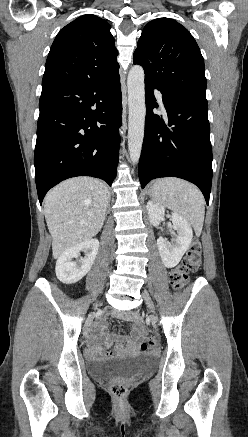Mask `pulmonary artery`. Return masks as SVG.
I'll return each mask as SVG.
<instances>
[{
  "label": "pulmonary artery",
  "instance_id": "pulmonary-artery-1",
  "mask_svg": "<svg viewBox=\"0 0 248 437\" xmlns=\"http://www.w3.org/2000/svg\"><path fill=\"white\" fill-rule=\"evenodd\" d=\"M156 97L161 106H163L162 94L159 91H156Z\"/></svg>",
  "mask_w": 248,
  "mask_h": 437
}]
</instances>
